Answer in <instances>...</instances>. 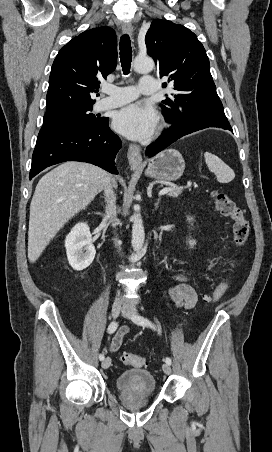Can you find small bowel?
I'll list each match as a JSON object with an SVG mask.
<instances>
[{
	"label": "small bowel",
	"mask_w": 272,
	"mask_h": 452,
	"mask_svg": "<svg viewBox=\"0 0 272 452\" xmlns=\"http://www.w3.org/2000/svg\"><path fill=\"white\" fill-rule=\"evenodd\" d=\"M187 274L185 272L173 273V278L177 281V284L168 290V298L174 304L186 309L194 307L197 302V295L194 289L186 283ZM130 332L129 327L122 326L114 334L112 340L109 343V351L117 352L123 343V339Z\"/></svg>",
	"instance_id": "small-bowel-1"
}]
</instances>
